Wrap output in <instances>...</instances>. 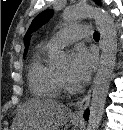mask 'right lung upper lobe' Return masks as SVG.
Masks as SVG:
<instances>
[{
    "instance_id": "1",
    "label": "right lung upper lobe",
    "mask_w": 123,
    "mask_h": 130,
    "mask_svg": "<svg viewBox=\"0 0 123 130\" xmlns=\"http://www.w3.org/2000/svg\"><path fill=\"white\" fill-rule=\"evenodd\" d=\"M28 44H29V41L27 42V46H26V49H25V53L27 52Z\"/></svg>"
}]
</instances>
